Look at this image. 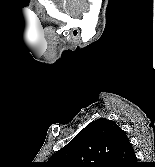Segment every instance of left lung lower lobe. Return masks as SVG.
Here are the masks:
<instances>
[{
  "label": "left lung lower lobe",
  "mask_w": 155,
  "mask_h": 167,
  "mask_svg": "<svg viewBox=\"0 0 155 167\" xmlns=\"http://www.w3.org/2000/svg\"><path fill=\"white\" fill-rule=\"evenodd\" d=\"M132 152L133 151H132L131 145L126 140L121 146L120 153H119V156H118V160H121V161L126 160V159L128 160L129 158H131V153ZM122 163L123 162H121V164Z\"/></svg>",
  "instance_id": "left-lung-lower-lobe-1"
}]
</instances>
